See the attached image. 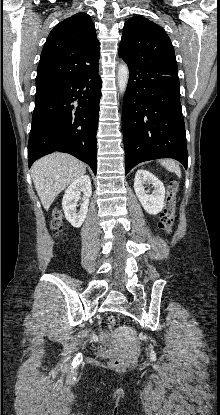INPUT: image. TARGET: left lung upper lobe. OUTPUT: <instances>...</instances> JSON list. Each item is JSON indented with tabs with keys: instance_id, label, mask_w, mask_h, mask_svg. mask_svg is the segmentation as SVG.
Instances as JSON below:
<instances>
[{
	"instance_id": "left-lung-upper-lobe-1",
	"label": "left lung upper lobe",
	"mask_w": 220,
	"mask_h": 415,
	"mask_svg": "<svg viewBox=\"0 0 220 415\" xmlns=\"http://www.w3.org/2000/svg\"><path fill=\"white\" fill-rule=\"evenodd\" d=\"M119 57L130 66L178 76L170 38L159 25L142 16H134L125 23Z\"/></svg>"
}]
</instances>
